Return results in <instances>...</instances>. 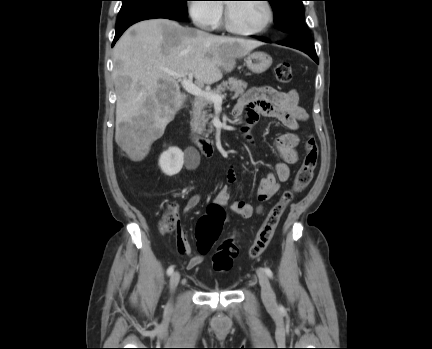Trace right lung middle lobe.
Wrapping results in <instances>:
<instances>
[{
  "instance_id": "dd1d6c3e",
  "label": "right lung middle lobe",
  "mask_w": 432,
  "mask_h": 349,
  "mask_svg": "<svg viewBox=\"0 0 432 349\" xmlns=\"http://www.w3.org/2000/svg\"><path fill=\"white\" fill-rule=\"evenodd\" d=\"M118 20L144 12H157L183 20L187 17L188 0H121Z\"/></svg>"
}]
</instances>
